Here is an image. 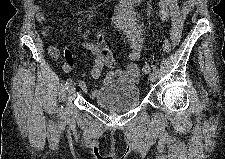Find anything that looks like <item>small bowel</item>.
I'll use <instances>...</instances> for the list:
<instances>
[{"label":"small bowel","instance_id":"1","mask_svg":"<svg viewBox=\"0 0 225 159\" xmlns=\"http://www.w3.org/2000/svg\"><path fill=\"white\" fill-rule=\"evenodd\" d=\"M139 0H125L116 8L113 17V24L117 30L123 33L127 39L130 51L128 53V62L121 64L112 55L105 41L103 32L96 35L94 42H83L81 46L87 49L93 55V67L88 72L90 78L94 80L103 79L104 82L113 80H124L136 83L140 77V68L138 61L141 59L144 46L143 32L140 23L137 20L135 5ZM193 6L192 1L187 0L181 8L175 0H162L160 4V17L163 22L171 20L170 36L174 45H176L182 34L183 22ZM33 11L37 23L42 27V36L48 37L49 29L46 25V18L43 13V7L40 3L33 4ZM48 54L53 60H59L61 52L54 45L48 47ZM106 64L110 71L105 74L103 66ZM64 71H70L74 65V57L68 50H64V60L60 61ZM83 91H87V85L84 81L79 83ZM95 93H91L94 96Z\"/></svg>","mask_w":225,"mask_h":159}]
</instances>
